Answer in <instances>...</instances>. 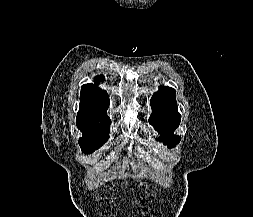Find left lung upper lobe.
<instances>
[{"label":"left lung upper lobe","instance_id":"1","mask_svg":"<svg viewBox=\"0 0 253 217\" xmlns=\"http://www.w3.org/2000/svg\"><path fill=\"white\" fill-rule=\"evenodd\" d=\"M153 113L149 123L160 133L159 141L164 142L168 148H173L180 142L181 137L173 132L180 124L181 115L177 110L175 89L161 87L151 98Z\"/></svg>","mask_w":253,"mask_h":217}]
</instances>
